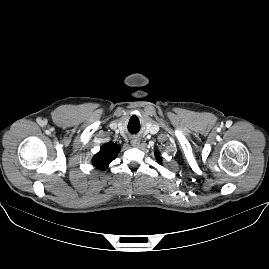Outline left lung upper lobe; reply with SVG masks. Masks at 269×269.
Here are the masks:
<instances>
[{
    "label": "left lung upper lobe",
    "mask_w": 269,
    "mask_h": 269,
    "mask_svg": "<svg viewBox=\"0 0 269 269\" xmlns=\"http://www.w3.org/2000/svg\"><path fill=\"white\" fill-rule=\"evenodd\" d=\"M156 155H157V158H158V160H159V161H161V160H160V158H159V155H158V153H156Z\"/></svg>",
    "instance_id": "left-lung-upper-lobe-1"
}]
</instances>
